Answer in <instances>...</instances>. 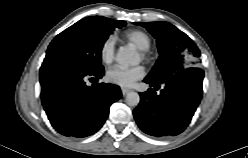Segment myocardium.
Returning <instances> with one entry per match:
<instances>
[{
  "label": "myocardium",
  "mask_w": 248,
  "mask_h": 158,
  "mask_svg": "<svg viewBox=\"0 0 248 158\" xmlns=\"http://www.w3.org/2000/svg\"><path fill=\"white\" fill-rule=\"evenodd\" d=\"M141 56L143 57V58H146L147 57V55H146V53L145 52H141Z\"/></svg>",
  "instance_id": "1"
}]
</instances>
